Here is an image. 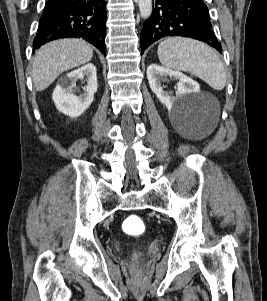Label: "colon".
<instances>
[{
	"label": "colon",
	"instance_id": "obj_1",
	"mask_svg": "<svg viewBox=\"0 0 267 301\" xmlns=\"http://www.w3.org/2000/svg\"><path fill=\"white\" fill-rule=\"evenodd\" d=\"M123 231L128 235H141L144 232V223L142 219L137 215H129L126 217L122 224ZM133 265H134V275L135 278L139 279L141 277L143 255L141 251L136 250L133 253Z\"/></svg>",
	"mask_w": 267,
	"mask_h": 301
}]
</instances>
